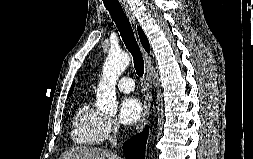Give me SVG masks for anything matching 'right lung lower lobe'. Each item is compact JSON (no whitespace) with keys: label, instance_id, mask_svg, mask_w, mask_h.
I'll return each mask as SVG.
<instances>
[{"label":"right lung lower lobe","instance_id":"obj_1","mask_svg":"<svg viewBox=\"0 0 253 159\" xmlns=\"http://www.w3.org/2000/svg\"><path fill=\"white\" fill-rule=\"evenodd\" d=\"M148 128L123 144L126 159H144Z\"/></svg>","mask_w":253,"mask_h":159}]
</instances>
